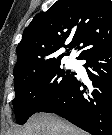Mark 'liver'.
Returning <instances> with one entry per match:
<instances>
[{
    "label": "liver",
    "instance_id": "1",
    "mask_svg": "<svg viewBox=\"0 0 112 135\" xmlns=\"http://www.w3.org/2000/svg\"><path fill=\"white\" fill-rule=\"evenodd\" d=\"M17 135H87L56 115L40 113L33 115Z\"/></svg>",
    "mask_w": 112,
    "mask_h": 135
}]
</instances>
